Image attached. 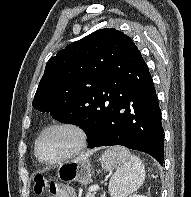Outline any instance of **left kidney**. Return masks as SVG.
<instances>
[{
  "mask_svg": "<svg viewBox=\"0 0 191 197\" xmlns=\"http://www.w3.org/2000/svg\"><path fill=\"white\" fill-rule=\"evenodd\" d=\"M129 197H146L144 195H139V194H133V195H130Z\"/></svg>",
  "mask_w": 191,
  "mask_h": 197,
  "instance_id": "left-kidney-1",
  "label": "left kidney"
}]
</instances>
